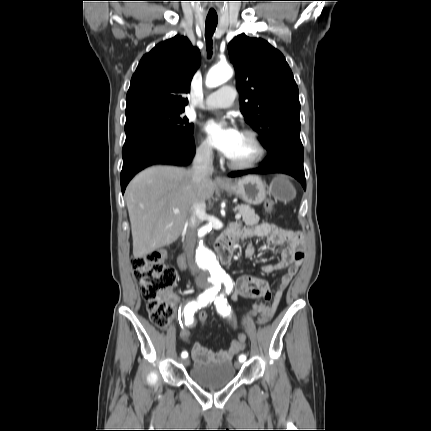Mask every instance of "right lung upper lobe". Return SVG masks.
I'll return each mask as SVG.
<instances>
[{
  "label": "right lung upper lobe",
  "mask_w": 431,
  "mask_h": 431,
  "mask_svg": "<svg viewBox=\"0 0 431 431\" xmlns=\"http://www.w3.org/2000/svg\"><path fill=\"white\" fill-rule=\"evenodd\" d=\"M201 55L185 37L168 39L145 54L126 96V120L145 114L184 110Z\"/></svg>",
  "instance_id": "right-lung-upper-lobe-1"
}]
</instances>
